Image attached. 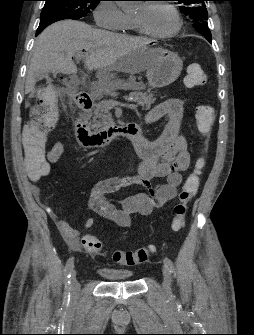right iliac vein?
<instances>
[{
	"mask_svg": "<svg viewBox=\"0 0 254 335\" xmlns=\"http://www.w3.org/2000/svg\"><path fill=\"white\" fill-rule=\"evenodd\" d=\"M79 291H80V284L76 278V271L74 270L71 276V292L74 296H77L79 294Z\"/></svg>",
	"mask_w": 254,
	"mask_h": 335,
	"instance_id": "obj_1",
	"label": "right iliac vein"
}]
</instances>
